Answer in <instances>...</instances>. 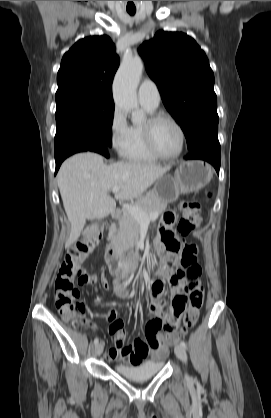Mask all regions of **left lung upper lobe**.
Here are the masks:
<instances>
[{"mask_svg": "<svg viewBox=\"0 0 271 418\" xmlns=\"http://www.w3.org/2000/svg\"><path fill=\"white\" fill-rule=\"evenodd\" d=\"M139 53L165 107L181 126L189 151L218 139L214 74L195 40L181 32L158 31Z\"/></svg>", "mask_w": 271, "mask_h": 418, "instance_id": "obj_1", "label": "left lung upper lobe"}]
</instances>
